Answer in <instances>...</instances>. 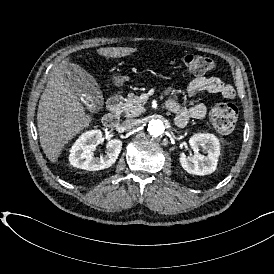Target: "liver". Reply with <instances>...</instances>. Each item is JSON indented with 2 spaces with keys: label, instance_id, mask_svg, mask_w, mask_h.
<instances>
[{
  "label": "liver",
  "instance_id": "obj_1",
  "mask_svg": "<svg viewBox=\"0 0 274 274\" xmlns=\"http://www.w3.org/2000/svg\"><path fill=\"white\" fill-rule=\"evenodd\" d=\"M136 51L137 48L105 47L99 48L97 53L118 58ZM81 70L80 66L63 61L53 69L40 97L37 112L39 140L44 154L53 163L58 160L65 144L89 127L93 120L85 113L72 88V77Z\"/></svg>",
  "mask_w": 274,
  "mask_h": 274
}]
</instances>
